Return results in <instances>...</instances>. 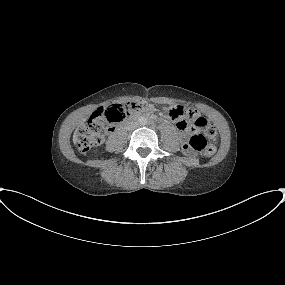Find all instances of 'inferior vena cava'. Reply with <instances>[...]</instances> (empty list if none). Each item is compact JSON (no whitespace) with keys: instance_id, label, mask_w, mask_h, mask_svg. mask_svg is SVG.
<instances>
[{"instance_id":"obj_1","label":"inferior vena cava","mask_w":285,"mask_h":285,"mask_svg":"<svg viewBox=\"0 0 285 285\" xmlns=\"http://www.w3.org/2000/svg\"><path fill=\"white\" fill-rule=\"evenodd\" d=\"M137 126H138V123H137V122L128 123V125H127V130H133V129H135Z\"/></svg>"}]
</instances>
